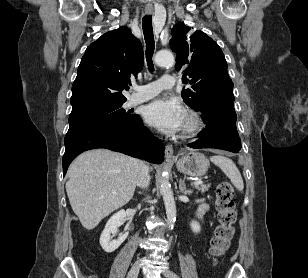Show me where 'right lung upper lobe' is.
<instances>
[{
    "instance_id": "cb5924a9",
    "label": "right lung upper lobe",
    "mask_w": 308,
    "mask_h": 278,
    "mask_svg": "<svg viewBox=\"0 0 308 278\" xmlns=\"http://www.w3.org/2000/svg\"><path fill=\"white\" fill-rule=\"evenodd\" d=\"M143 68L141 42L126 27L105 33L83 55L72 85L70 116L126 102L121 91Z\"/></svg>"
}]
</instances>
